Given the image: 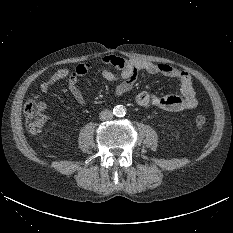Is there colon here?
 Here are the masks:
<instances>
[{
    "label": "colon",
    "instance_id": "1",
    "mask_svg": "<svg viewBox=\"0 0 233 233\" xmlns=\"http://www.w3.org/2000/svg\"><path fill=\"white\" fill-rule=\"evenodd\" d=\"M44 104L36 99H29L24 106V115L26 119L27 129L31 134H37L43 124L45 123L46 116L44 114ZM207 119L203 115L195 117V123L199 127H203Z\"/></svg>",
    "mask_w": 233,
    "mask_h": 233
}]
</instances>
